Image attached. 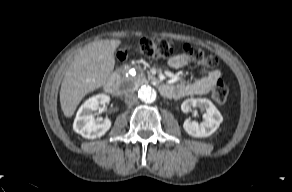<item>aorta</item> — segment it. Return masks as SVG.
Returning a JSON list of instances; mask_svg holds the SVG:
<instances>
[{
  "label": "aorta",
  "instance_id": "obj_1",
  "mask_svg": "<svg viewBox=\"0 0 292 192\" xmlns=\"http://www.w3.org/2000/svg\"><path fill=\"white\" fill-rule=\"evenodd\" d=\"M138 97L144 103H152L156 100L157 94L151 86H142L138 91Z\"/></svg>",
  "mask_w": 292,
  "mask_h": 192
}]
</instances>
